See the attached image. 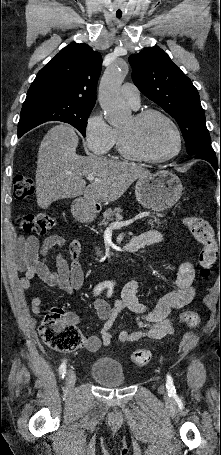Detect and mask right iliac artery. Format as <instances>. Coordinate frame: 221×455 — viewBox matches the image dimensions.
Returning <instances> with one entry per match:
<instances>
[{
    "label": "right iliac artery",
    "instance_id": "82829eb1",
    "mask_svg": "<svg viewBox=\"0 0 221 455\" xmlns=\"http://www.w3.org/2000/svg\"><path fill=\"white\" fill-rule=\"evenodd\" d=\"M107 286L108 285L106 283L98 284L94 289V295L96 296V295L100 294V292ZM65 374H66V364H65V362H63L59 367V375L61 378H64Z\"/></svg>",
    "mask_w": 221,
    "mask_h": 455
}]
</instances>
